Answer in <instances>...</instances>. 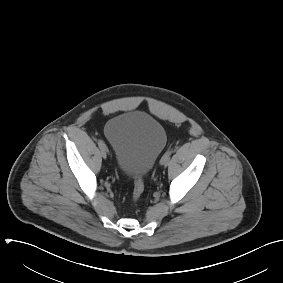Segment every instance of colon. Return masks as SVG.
<instances>
[{
  "instance_id": "colon-1",
  "label": "colon",
  "mask_w": 283,
  "mask_h": 283,
  "mask_svg": "<svg viewBox=\"0 0 283 283\" xmlns=\"http://www.w3.org/2000/svg\"><path fill=\"white\" fill-rule=\"evenodd\" d=\"M144 191V181L142 176H136L133 189V200L138 201Z\"/></svg>"
}]
</instances>
